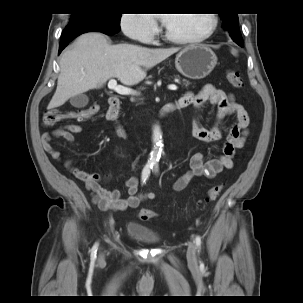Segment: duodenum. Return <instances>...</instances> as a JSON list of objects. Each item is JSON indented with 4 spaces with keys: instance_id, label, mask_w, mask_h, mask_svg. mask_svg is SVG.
Returning <instances> with one entry per match:
<instances>
[{
    "instance_id": "410a0bca",
    "label": "duodenum",
    "mask_w": 303,
    "mask_h": 303,
    "mask_svg": "<svg viewBox=\"0 0 303 303\" xmlns=\"http://www.w3.org/2000/svg\"><path fill=\"white\" fill-rule=\"evenodd\" d=\"M182 107V104L179 102H175L165 106L160 112V116L163 117L168 114L171 110ZM121 109V101L116 96H111L109 98V109L107 112V119L110 121L115 120L118 117V114ZM116 132L120 137H126V133L122 126H116Z\"/></svg>"
}]
</instances>
